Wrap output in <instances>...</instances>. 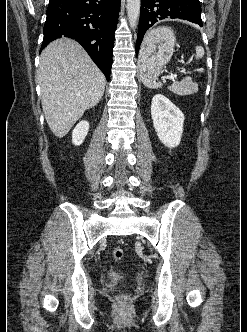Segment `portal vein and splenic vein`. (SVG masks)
Segmentation results:
<instances>
[{
	"label": "portal vein and splenic vein",
	"instance_id": "18ae733b",
	"mask_svg": "<svg viewBox=\"0 0 247 332\" xmlns=\"http://www.w3.org/2000/svg\"><path fill=\"white\" fill-rule=\"evenodd\" d=\"M180 73H185V70L183 69ZM175 78H176V75H173L172 77H171V79L174 81L175 80Z\"/></svg>",
	"mask_w": 247,
	"mask_h": 332
}]
</instances>
